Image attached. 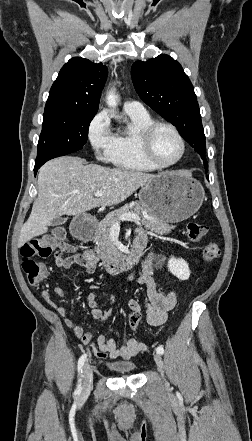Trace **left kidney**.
<instances>
[{"mask_svg":"<svg viewBox=\"0 0 252 441\" xmlns=\"http://www.w3.org/2000/svg\"><path fill=\"white\" fill-rule=\"evenodd\" d=\"M169 271L176 276L179 280L185 281L189 279L190 269L187 262L184 259H176L171 257L168 260Z\"/></svg>","mask_w":252,"mask_h":441,"instance_id":"left-kidney-1","label":"left kidney"}]
</instances>
